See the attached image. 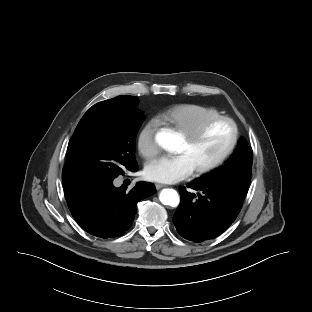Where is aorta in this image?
Returning <instances> with one entry per match:
<instances>
[{
  "instance_id": "762f6f07",
  "label": "aorta",
  "mask_w": 312,
  "mask_h": 312,
  "mask_svg": "<svg viewBox=\"0 0 312 312\" xmlns=\"http://www.w3.org/2000/svg\"><path fill=\"white\" fill-rule=\"evenodd\" d=\"M155 140L159 146L167 150H171L175 146L173 135L167 129L157 132ZM159 199L162 204L169 205L171 207L178 206L180 202L179 195L174 189H163L159 195Z\"/></svg>"
}]
</instances>
